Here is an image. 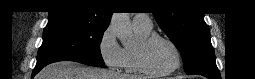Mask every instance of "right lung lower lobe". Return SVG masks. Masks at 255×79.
Wrapping results in <instances>:
<instances>
[{
	"label": "right lung lower lobe",
	"mask_w": 255,
	"mask_h": 79,
	"mask_svg": "<svg viewBox=\"0 0 255 79\" xmlns=\"http://www.w3.org/2000/svg\"><path fill=\"white\" fill-rule=\"evenodd\" d=\"M45 66L46 65L36 66L34 71H33L32 78Z\"/></svg>",
	"instance_id": "98d812e1"
}]
</instances>
